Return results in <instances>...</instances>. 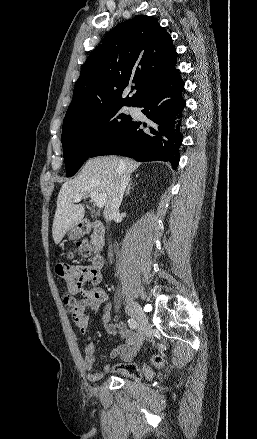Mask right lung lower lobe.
Returning a JSON list of instances; mask_svg holds the SVG:
<instances>
[{"label": "right lung lower lobe", "instance_id": "98d812e1", "mask_svg": "<svg viewBox=\"0 0 257 439\" xmlns=\"http://www.w3.org/2000/svg\"><path fill=\"white\" fill-rule=\"evenodd\" d=\"M184 82L179 70L154 85L136 105L148 118L147 123L131 120L118 133L100 144L90 155H121L136 161H168L175 170L182 143V98Z\"/></svg>", "mask_w": 257, "mask_h": 439}]
</instances>
